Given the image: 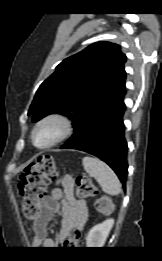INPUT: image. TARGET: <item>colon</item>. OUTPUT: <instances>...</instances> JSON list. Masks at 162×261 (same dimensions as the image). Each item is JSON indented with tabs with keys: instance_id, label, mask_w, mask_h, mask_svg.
I'll return each mask as SVG.
<instances>
[{
	"instance_id": "5ec220e1",
	"label": "colon",
	"mask_w": 162,
	"mask_h": 261,
	"mask_svg": "<svg viewBox=\"0 0 162 261\" xmlns=\"http://www.w3.org/2000/svg\"><path fill=\"white\" fill-rule=\"evenodd\" d=\"M58 177L55 161L49 155L38 158L37 162L28 166L20 177L18 184L19 194L22 201V213L29 221L39 219V202L49 184ZM77 199H90L98 196L97 187L86 176L76 178ZM97 212L103 215H110L113 212V204L108 195H100L95 203ZM79 234H74L71 239H66L63 245L77 244Z\"/></svg>"
}]
</instances>
